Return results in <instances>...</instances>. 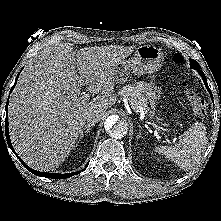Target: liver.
<instances>
[{"mask_svg": "<svg viewBox=\"0 0 221 221\" xmlns=\"http://www.w3.org/2000/svg\"><path fill=\"white\" fill-rule=\"evenodd\" d=\"M135 46H50L21 72L8 106L9 132L16 153L32 168L58 167L74 148L87 113L115 104V67ZM85 86L98 94L91 101ZM82 95V96H81Z\"/></svg>", "mask_w": 221, "mask_h": 221, "instance_id": "1", "label": "liver"}]
</instances>
